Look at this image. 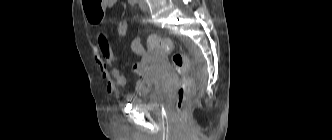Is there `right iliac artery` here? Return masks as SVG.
Instances as JSON below:
<instances>
[{
    "instance_id": "right-iliac-artery-1",
    "label": "right iliac artery",
    "mask_w": 332,
    "mask_h": 140,
    "mask_svg": "<svg viewBox=\"0 0 332 140\" xmlns=\"http://www.w3.org/2000/svg\"><path fill=\"white\" fill-rule=\"evenodd\" d=\"M128 2L131 4V5H135L137 3V0H128Z\"/></svg>"
}]
</instances>
